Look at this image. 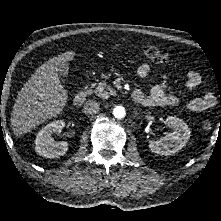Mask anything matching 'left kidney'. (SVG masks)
Segmentation results:
<instances>
[{
    "instance_id": "obj_1",
    "label": "left kidney",
    "mask_w": 221,
    "mask_h": 221,
    "mask_svg": "<svg viewBox=\"0 0 221 221\" xmlns=\"http://www.w3.org/2000/svg\"><path fill=\"white\" fill-rule=\"evenodd\" d=\"M165 122L173 131L167 133L166 136L160 140L149 141L148 147L152 153L170 156L186 145L191 132L188 125L177 117L168 116Z\"/></svg>"
}]
</instances>
